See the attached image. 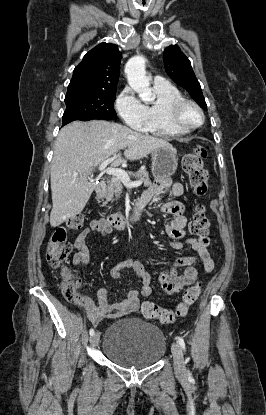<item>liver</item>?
I'll use <instances>...</instances> for the list:
<instances>
[{
    "mask_svg": "<svg viewBox=\"0 0 266 415\" xmlns=\"http://www.w3.org/2000/svg\"><path fill=\"white\" fill-rule=\"evenodd\" d=\"M159 147L175 150L166 140L105 120L74 121L63 127L51 163L50 225L57 227L81 213L95 188L88 176L103 161L117 154L113 165L119 166L146 157ZM125 148L123 158L120 151Z\"/></svg>",
    "mask_w": 266,
    "mask_h": 415,
    "instance_id": "1",
    "label": "liver"
}]
</instances>
